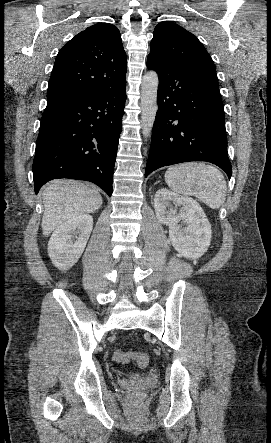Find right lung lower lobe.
Masks as SVG:
<instances>
[{
    "instance_id": "obj_1",
    "label": "right lung lower lobe",
    "mask_w": 271,
    "mask_h": 443,
    "mask_svg": "<svg viewBox=\"0 0 271 443\" xmlns=\"http://www.w3.org/2000/svg\"><path fill=\"white\" fill-rule=\"evenodd\" d=\"M126 84L47 102L33 161L36 194L58 178L86 180L112 194Z\"/></svg>"
}]
</instances>
